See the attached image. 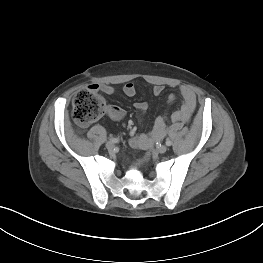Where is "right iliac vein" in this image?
Masks as SVG:
<instances>
[{
	"label": "right iliac vein",
	"mask_w": 263,
	"mask_h": 263,
	"mask_svg": "<svg viewBox=\"0 0 263 263\" xmlns=\"http://www.w3.org/2000/svg\"><path fill=\"white\" fill-rule=\"evenodd\" d=\"M106 148H107L109 151L113 150V148H114V143L111 142V141H108V142L106 143Z\"/></svg>",
	"instance_id": "obj_1"
}]
</instances>
